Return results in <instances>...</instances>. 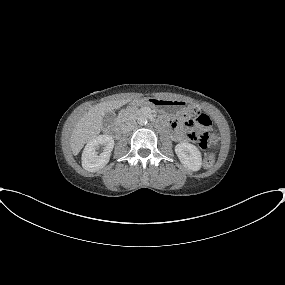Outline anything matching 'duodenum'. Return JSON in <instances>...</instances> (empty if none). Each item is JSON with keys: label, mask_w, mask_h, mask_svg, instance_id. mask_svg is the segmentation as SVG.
<instances>
[{"label": "duodenum", "mask_w": 285, "mask_h": 285, "mask_svg": "<svg viewBox=\"0 0 285 285\" xmlns=\"http://www.w3.org/2000/svg\"><path fill=\"white\" fill-rule=\"evenodd\" d=\"M144 103H145V101H143V100H137V101L134 102V105L140 106V105H143ZM159 123H160V125L163 128H168V125H169L168 121L161 120ZM121 132H122V127L120 125H118V124H114L110 128V133L111 134L119 135V134H121Z\"/></svg>", "instance_id": "1"}]
</instances>
